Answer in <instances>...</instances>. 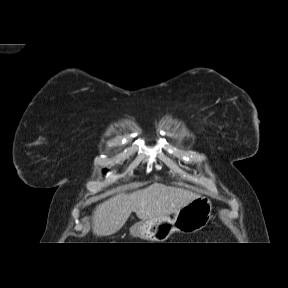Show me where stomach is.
<instances>
[{
    "instance_id": "1",
    "label": "stomach",
    "mask_w": 288,
    "mask_h": 288,
    "mask_svg": "<svg viewBox=\"0 0 288 288\" xmlns=\"http://www.w3.org/2000/svg\"><path fill=\"white\" fill-rule=\"evenodd\" d=\"M211 214L210 199L198 196L180 208L173 218L162 216L138 222L130 228V234L146 241H165L174 232L193 233L201 230L208 224Z\"/></svg>"
}]
</instances>
